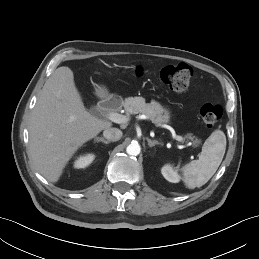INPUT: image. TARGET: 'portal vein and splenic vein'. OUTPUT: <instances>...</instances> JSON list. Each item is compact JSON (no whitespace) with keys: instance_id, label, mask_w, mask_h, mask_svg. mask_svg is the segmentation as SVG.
Returning <instances> with one entry per match:
<instances>
[{"instance_id":"18ae733b","label":"portal vein and splenic vein","mask_w":259,"mask_h":259,"mask_svg":"<svg viewBox=\"0 0 259 259\" xmlns=\"http://www.w3.org/2000/svg\"><path fill=\"white\" fill-rule=\"evenodd\" d=\"M110 121L118 124H126L129 121V117L116 113V112H110L106 116ZM174 139L177 141L184 143V138L178 135L173 136Z\"/></svg>"}]
</instances>
